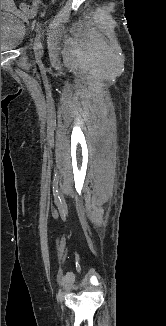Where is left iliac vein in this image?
<instances>
[{
  "label": "left iliac vein",
  "instance_id": "4c4485c4",
  "mask_svg": "<svg viewBox=\"0 0 166 326\" xmlns=\"http://www.w3.org/2000/svg\"><path fill=\"white\" fill-rule=\"evenodd\" d=\"M33 48H34L35 56L37 58H40L42 56V50H41L42 47H41V45L39 43L38 38H35Z\"/></svg>",
  "mask_w": 166,
  "mask_h": 326
}]
</instances>
